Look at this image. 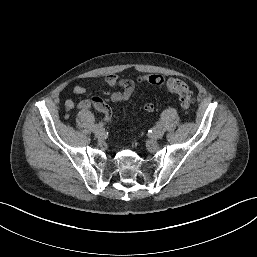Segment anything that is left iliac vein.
Instances as JSON below:
<instances>
[{
    "mask_svg": "<svg viewBox=\"0 0 257 257\" xmlns=\"http://www.w3.org/2000/svg\"><path fill=\"white\" fill-rule=\"evenodd\" d=\"M164 135V130L161 127L156 128V130L154 131L152 138L153 139H160L162 138Z\"/></svg>",
    "mask_w": 257,
    "mask_h": 257,
    "instance_id": "4c4485c4",
    "label": "left iliac vein"
}]
</instances>
